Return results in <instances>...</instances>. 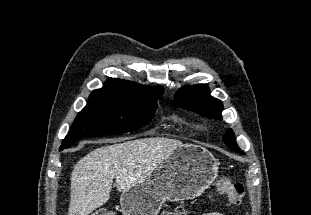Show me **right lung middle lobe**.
I'll list each match as a JSON object with an SVG mask.
<instances>
[{"label":"right lung middle lobe","instance_id":"dd1d6c3e","mask_svg":"<svg viewBox=\"0 0 311 215\" xmlns=\"http://www.w3.org/2000/svg\"><path fill=\"white\" fill-rule=\"evenodd\" d=\"M157 100H135L107 95H90L85 108L78 113L60 150L76 140L89 136L125 133L145 126L153 118Z\"/></svg>","mask_w":311,"mask_h":215}]
</instances>
